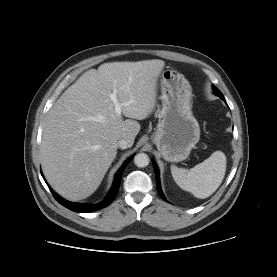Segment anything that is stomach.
Wrapping results in <instances>:
<instances>
[{"mask_svg":"<svg viewBox=\"0 0 277 277\" xmlns=\"http://www.w3.org/2000/svg\"><path fill=\"white\" fill-rule=\"evenodd\" d=\"M162 108L152 141L169 162L185 160L200 139V128L192 113V89L188 80L175 70L162 72Z\"/></svg>","mask_w":277,"mask_h":277,"instance_id":"obj_1","label":"stomach"}]
</instances>
